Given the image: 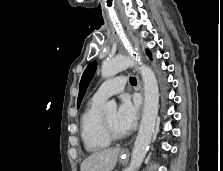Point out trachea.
<instances>
[{"label": "trachea", "instance_id": "trachea-1", "mask_svg": "<svg viewBox=\"0 0 223 171\" xmlns=\"http://www.w3.org/2000/svg\"><path fill=\"white\" fill-rule=\"evenodd\" d=\"M130 83L133 84H137V80L135 77H130Z\"/></svg>", "mask_w": 223, "mask_h": 171}]
</instances>
